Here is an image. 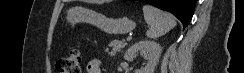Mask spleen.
<instances>
[{
  "label": "spleen",
  "instance_id": "1",
  "mask_svg": "<svg viewBox=\"0 0 244 73\" xmlns=\"http://www.w3.org/2000/svg\"><path fill=\"white\" fill-rule=\"evenodd\" d=\"M143 14L149 26L146 35L150 39H157L176 26L173 15L151 5L143 6Z\"/></svg>",
  "mask_w": 244,
  "mask_h": 73
}]
</instances>
